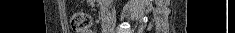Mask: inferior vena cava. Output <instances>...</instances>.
<instances>
[{"instance_id": "602c4592", "label": "inferior vena cava", "mask_w": 235, "mask_h": 33, "mask_svg": "<svg viewBox=\"0 0 235 33\" xmlns=\"http://www.w3.org/2000/svg\"><path fill=\"white\" fill-rule=\"evenodd\" d=\"M114 19V13H113V11H112V20Z\"/></svg>"}]
</instances>
